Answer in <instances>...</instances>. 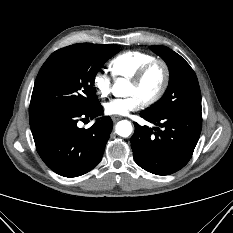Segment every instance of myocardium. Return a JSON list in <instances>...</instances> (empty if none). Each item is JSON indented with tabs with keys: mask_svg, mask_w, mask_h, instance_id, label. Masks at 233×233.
Segmentation results:
<instances>
[{
	"mask_svg": "<svg viewBox=\"0 0 233 233\" xmlns=\"http://www.w3.org/2000/svg\"><path fill=\"white\" fill-rule=\"evenodd\" d=\"M156 65H160L162 67V70H163L162 84L154 96H152L151 98L142 102V105L144 107H149V106L156 104L164 96V94L169 86L170 78H171V72H170L169 65L167 64V62L165 60L155 58V59L149 61L148 63H146L145 65H143L129 79L132 84L140 85L142 83V81L144 80L145 76L147 75V73L151 70V68H153Z\"/></svg>",
	"mask_w": 233,
	"mask_h": 233,
	"instance_id": "myocardium-1",
	"label": "myocardium"
}]
</instances>
